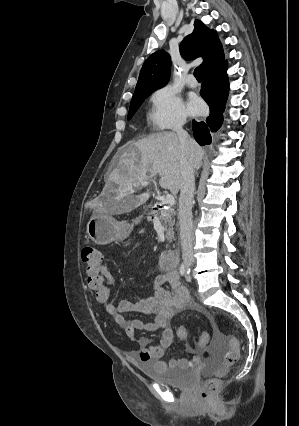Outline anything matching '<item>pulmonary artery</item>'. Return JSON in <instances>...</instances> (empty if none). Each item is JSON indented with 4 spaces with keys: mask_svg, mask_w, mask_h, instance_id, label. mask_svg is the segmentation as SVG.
<instances>
[{
    "mask_svg": "<svg viewBox=\"0 0 299 426\" xmlns=\"http://www.w3.org/2000/svg\"><path fill=\"white\" fill-rule=\"evenodd\" d=\"M186 83L189 87H192V88L197 86V81H196V79L194 78L193 75L188 76Z\"/></svg>",
    "mask_w": 299,
    "mask_h": 426,
    "instance_id": "e3ab8cb5",
    "label": "pulmonary artery"
}]
</instances>
